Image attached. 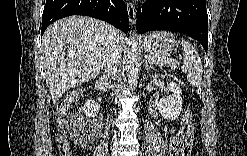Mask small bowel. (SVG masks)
<instances>
[{
	"label": "small bowel",
	"mask_w": 247,
	"mask_h": 156,
	"mask_svg": "<svg viewBox=\"0 0 247 156\" xmlns=\"http://www.w3.org/2000/svg\"><path fill=\"white\" fill-rule=\"evenodd\" d=\"M166 133L169 135L170 139V150L172 152H177L178 150H184L187 153L190 151L193 145V126L190 125L186 131L176 132V126L172 125L166 128Z\"/></svg>",
	"instance_id": "small-bowel-1"
}]
</instances>
